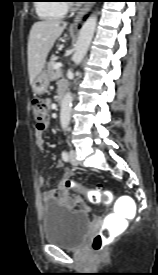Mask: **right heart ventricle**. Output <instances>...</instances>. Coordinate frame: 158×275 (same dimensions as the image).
<instances>
[{
  "instance_id": "obj_1",
  "label": "right heart ventricle",
  "mask_w": 158,
  "mask_h": 275,
  "mask_svg": "<svg viewBox=\"0 0 158 275\" xmlns=\"http://www.w3.org/2000/svg\"><path fill=\"white\" fill-rule=\"evenodd\" d=\"M62 0H42L36 10L43 19H61L67 12V6Z\"/></svg>"
}]
</instances>
